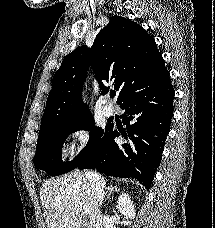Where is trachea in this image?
I'll return each mask as SVG.
<instances>
[{
  "label": "trachea",
  "mask_w": 215,
  "mask_h": 228,
  "mask_svg": "<svg viewBox=\"0 0 215 228\" xmlns=\"http://www.w3.org/2000/svg\"><path fill=\"white\" fill-rule=\"evenodd\" d=\"M116 95V92H110V97L113 98Z\"/></svg>",
  "instance_id": "trachea-1"
}]
</instances>
